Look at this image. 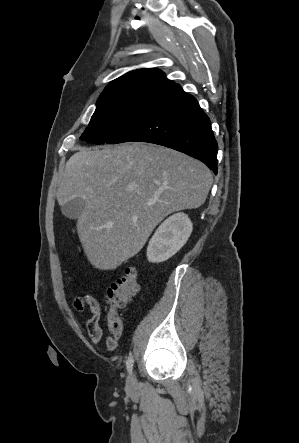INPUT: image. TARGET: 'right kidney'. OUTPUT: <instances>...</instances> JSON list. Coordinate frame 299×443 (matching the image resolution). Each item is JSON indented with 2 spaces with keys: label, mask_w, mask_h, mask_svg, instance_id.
<instances>
[{
  "label": "right kidney",
  "mask_w": 299,
  "mask_h": 443,
  "mask_svg": "<svg viewBox=\"0 0 299 443\" xmlns=\"http://www.w3.org/2000/svg\"><path fill=\"white\" fill-rule=\"evenodd\" d=\"M192 230V222L184 213H176L167 218L149 241L148 261L160 263L171 258L185 245Z\"/></svg>",
  "instance_id": "1"
}]
</instances>
